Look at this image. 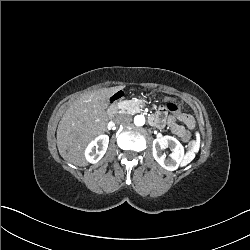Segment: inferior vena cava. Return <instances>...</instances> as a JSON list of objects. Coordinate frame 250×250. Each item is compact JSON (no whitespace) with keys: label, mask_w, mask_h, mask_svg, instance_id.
Wrapping results in <instances>:
<instances>
[{"label":"inferior vena cava","mask_w":250,"mask_h":250,"mask_svg":"<svg viewBox=\"0 0 250 250\" xmlns=\"http://www.w3.org/2000/svg\"><path fill=\"white\" fill-rule=\"evenodd\" d=\"M116 121L121 124H128L132 121V116L130 114H119Z\"/></svg>","instance_id":"602c4592"}]
</instances>
